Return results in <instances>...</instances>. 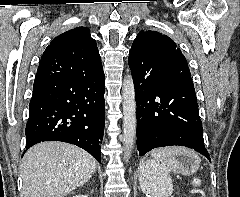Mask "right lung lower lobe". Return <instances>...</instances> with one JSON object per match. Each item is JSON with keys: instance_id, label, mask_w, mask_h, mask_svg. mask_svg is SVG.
I'll list each match as a JSON object with an SVG mask.
<instances>
[{"instance_id": "obj_1", "label": "right lung lower lobe", "mask_w": 240, "mask_h": 197, "mask_svg": "<svg viewBox=\"0 0 240 197\" xmlns=\"http://www.w3.org/2000/svg\"><path fill=\"white\" fill-rule=\"evenodd\" d=\"M103 70L82 78L34 83L26 126V150L43 141H63L88 151L97 161L105 125Z\"/></svg>"}]
</instances>
